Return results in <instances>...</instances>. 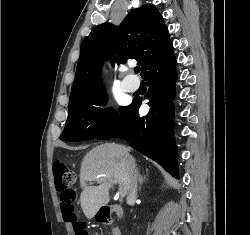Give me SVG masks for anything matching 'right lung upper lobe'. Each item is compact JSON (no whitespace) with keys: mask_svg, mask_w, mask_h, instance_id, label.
<instances>
[{"mask_svg":"<svg viewBox=\"0 0 250 235\" xmlns=\"http://www.w3.org/2000/svg\"><path fill=\"white\" fill-rule=\"evenodd\" d=\"M170 44L161 14L149 4L132 10L118 27L110 23L97 26L82 42L70 102L104 87L100 72L105 60L119 65L135 59L144 75Z\"/></svg>","mask_w":250,"mask_h":235,"instance_id":"1","label":"right lung upper lobe"}]
</instances>
